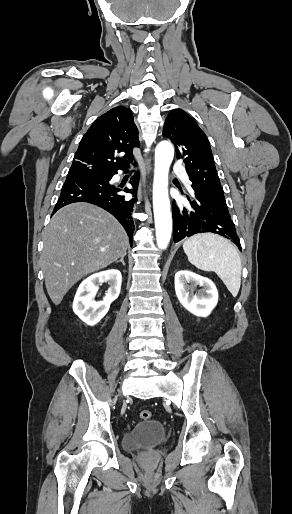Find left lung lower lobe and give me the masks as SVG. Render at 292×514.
I'll use <instances>...</instances> for the list:
<instances>
[{
    "instance_id": "0a47b994",
    "label": "left lung lower lobe",
    "mask_w": 292,
    "mask_h": 514,
    "mask_svg": "<svg viewBox=\"0 0 292 514\" xmlns=\"http://www.w3.org/2000/svg\"><path fill=\"white\" fill-rule=\"evenodd\" d=\"M187 199L189 204L172 206L175 243L193 234L212 232L232 240L241 250L224 197L193 192Z\"/></svg>"
}]
</instances>
